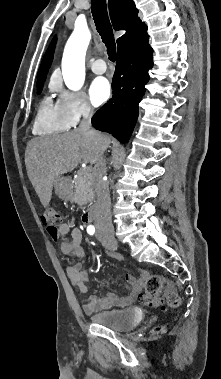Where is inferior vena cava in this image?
Here are the masks:
<instances>
[{"label": "inferior vena cava", "mask_w": 221, "mask_h": 379, "mask_svg": "<svg viewBox=\"0 0 221 379\" xmlns=\"http://www.w3.org/2000/svg\"><path fill=\"white\" fill-rule=\"evenodd\" d=\"M91 117V107L89 105H86L83 110V119L79 125V130L89 133H95V131L91 129ZM106 173V160L104 159L102 153L98 161L95 163L93 169V182L98 202V211L95 220V226L97 229L113 230L110 211L111 201L109 187L108 183L103 179Z\"/></svg>", "instance_id": "602c4592"}]
</instances>
